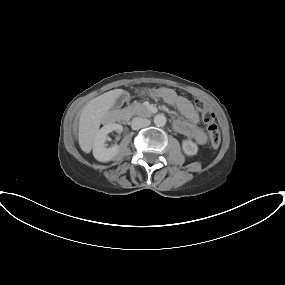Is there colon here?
<instances>
[{
  "label": "colon",
  "mask_w": 285,
  "mask_h": 285,
  "mask_svg": "<svg viewBox=\"0 0 285 285\" xmlns=\"http://www.w3.org/2000/svg\"><path fill=\"white\" fill-rule=\"evenodd\" d=\"M194 106L201 113L202 119L207 127L211 145L217 148L221 142V135L219 127L215 120V114L210 107L201 99L195 98L193 100Z\"/></svg>",
  "instance_id": "5ec220e1"
}]
</instances>
